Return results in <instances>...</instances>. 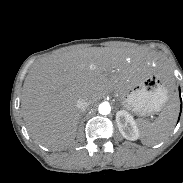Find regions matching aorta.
Listing matches in <instances>:
<instances>
[{"mask_svg":"<svg viewBox=\"0 0 183 183\" xmlns=\"http://www.w3.org/2000/svg\"><path fill=\"white\" fill-rule=\"evenodd\" d=\"M98 111L102 115H108L111 112V106L108 102H103L99 105Z\"/></svg>","mask_w":183,"mask_h":183,"instance_id":"762f6f07","label":"aorta"}]
</instances>
